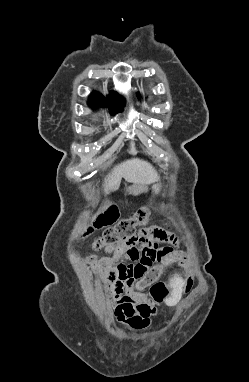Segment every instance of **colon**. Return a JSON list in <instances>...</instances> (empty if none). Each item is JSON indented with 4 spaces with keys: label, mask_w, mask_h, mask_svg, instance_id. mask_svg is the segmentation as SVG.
Returning a JSON list of instances; mask_svg holds the SVG:
<instances>
[{
    "label": "colon",
    "mask_w": 249,
    "mask_h": 382,
    "mask_svg": "<svg viewBox=\"0 0 249 382\" xmlns=\"http://www.w3.org/2000/svg\"><path fill=\"white\" fill-rule=\"evenodd\" d=\"M153 211V208L143 207L136 211L132 217L114 224L118 216V210L116 206L110 205L105 211L93 216L92 221L86 227L84 234L93 229L109 226L103 235L95 239L93 242V247L95 249L122 241H140L141 238L138 237L137 227L146 226L150 221ZM140 249L143 250V258L140 259L139 262L131 263L128 275L138 279L140 282H152L150 288L151 298H160L162 301L164 296L167 295V288L164 283L156 282V279L159 278L160 273H163L165 270H171L172 267L176 268L178 266L176 261H186L187 256L182 250H165L159 246H157V248ZM160 261H163L161 266L153 267L155 263ZM187 290H189V287Z\"/></svg>",
    "instance_id": "colon-1"
}]
</instances>
